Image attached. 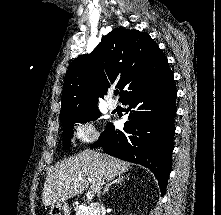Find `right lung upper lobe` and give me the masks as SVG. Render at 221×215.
Returning <instances> with one entry per match:
<instances>
[{
  "label": "right lung upper lobe",
  "instance_id": "right-lung-upper-lobe-1",
  "mask_svg": "<svg viewBox=\"0 0 221 215\" xmlns=\"http://www.w3.org/2000/svg\"><path fill=\"white\" fill-rule=\"evenodd\" d=\"M169 69L168 60L147 33L114 29L88 55L76 58L67 70L60 120L97 108L99 97L112 85L120 101Z\"/></svg>",
  "mask_w": 221,
  "mask_h": 215
}]
</instances>
